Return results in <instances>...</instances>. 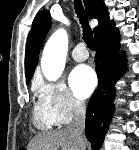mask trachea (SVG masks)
<instances>
[{
    "label": "trachea",
    "mask_w": 139,
    "mask_h": 150,
    "mask_svg": "<svg viewBox=\"0 0 139 150\" xmlns=\"http://www.w3.org/2000/svg\"><path fill=\"white\" fill-rule=\"evenodd\" d=\"M74 4H75L77 17L79 18L80 23L82 24L83 27V39L87 44L88 48L94 49L95 44H94L93 32L89 27L88 17L82 6L81 0H74Z\"/></svg>",
    "instance_id": "1"
}]
</instances>
